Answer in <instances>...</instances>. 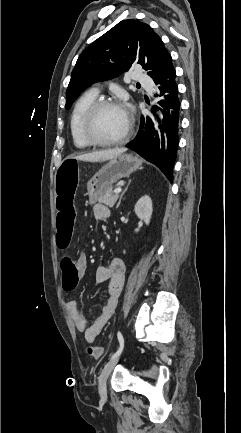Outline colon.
<instances>
[{
  "label": "colon",
  "instance_id": "obj_1",
  "mask_svg": "<svg viewBox=\"0 0 241 433\" xmlns=\"http://www.w3.org/2000/svg\"><path fill=\"white\" fill-rule=\"evenodd\" d=\"M81 165L79 157H63L55 174L56 208L58 217L55 228L58 230L57 245L60 249H66L70 243V235H73L76 216L79 214L78 207L74 206V195L77 189L79 173L77 168ZM63 272V284L67 290L73 289L78 281V269L69 256H65L61 262ZM88 355L95 360L102 358L103 349L100 347H89Z\"/></svg>",
  "mask_w": 241,
  "mask_h": 433
}]
</instances>
